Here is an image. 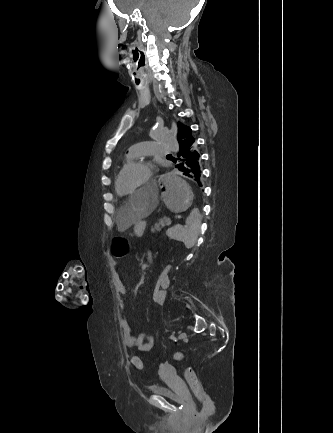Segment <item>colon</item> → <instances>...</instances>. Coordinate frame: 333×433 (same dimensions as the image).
Returning a JSON list of instances; mask_svg holds the SVG:
<instances>
[{
  "label": "colon",
  "mask_w": 333,
  "mask_h": 433,
  "mask_svg": "<svg viewBox=\"0 0 333 433\" xmlns=\"http://www.w3.org/2000/svg\"><path fill=\"white\" fill-rule=\"evenodd\" d=\"M129 237L128 236H112L111 238V256L112 258H125L126 253L129 252ZM172 266L169 263L164 264L163 270H161L160 274L157 276V280L155 281L154 290L152 291V303L159 305L162 303L161 293L162 290L160 287L164 284V280L169 275V271H171ZM176 360L180 362H185L186 357L182 352H177L175 354ZM132 366L137 370L143 369V362L138 356H133L131 358ZM185 378L188 382L193 394L200 400L204 401L207 399V393L204 389L202 382L200 381L195 370L188 366L185 369Z\"/></svg>",
  "instance_id": "1"
}]
</instances>
